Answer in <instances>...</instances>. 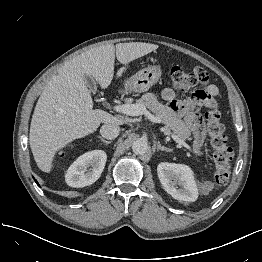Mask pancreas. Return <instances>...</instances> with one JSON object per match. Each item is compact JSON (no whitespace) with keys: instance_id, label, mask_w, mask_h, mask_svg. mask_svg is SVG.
<instances>
[{"instance_id":"pancreas-1","label":"pancreas","mask_w":262,"mask_h":262,"mask_svg":"<svg viewBox=\"0 0 262 262\" xmlns=\"http://www.w3.org/2000/svg\"><path fill=\"white\" fill-rule=\"evenodd\" d=\"M136 104H140L148 108L161 122L165 125V133L170 135L173 133L182 140L187 139L190 136V130L187 128L185 123L173 116L171 111L160 103L157 96L153 93L144 94ZM195 153H198V149H194Z\"/></svg>"}]
</instances>
